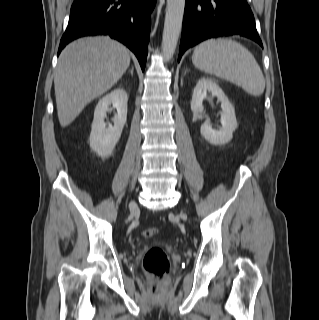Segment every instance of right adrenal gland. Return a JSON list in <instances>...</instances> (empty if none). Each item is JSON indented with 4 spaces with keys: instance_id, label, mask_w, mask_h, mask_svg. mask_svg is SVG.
<instances>
[{
    "instance_id": "1",
    "label": "right adrenal gland",
    "mask_w": 319,
    "mask_h": 320,
    "mask_svg": "<svg viewBox=\"0 0 319 320\" xmlns=\"http://www.w3.org/2000/svg\"><path fill=\"white\" fill-rule=\"evenodd\" d=\"M134 68L132 67L130 70L131 75H133Z\"/></svg>"
}]
</instances>
